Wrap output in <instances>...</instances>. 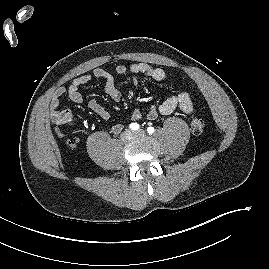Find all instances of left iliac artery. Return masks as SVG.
<instances>
[{
	"mask_svg": "<svg viewBox=\"0 0 269 269\" xmlns=\"http://www.w3.org/2000/svg\"><path fill=\"white\" fill-rule=\"evenodd\" d=\"M154 131H155L154 127H148V128H147V132H148L149 134L154 133Z\"/></svg>",
	"mask_w": 269,
	"mask_h": 269,
	"instance_id": "obj_1",
	"label": "left iliac artery"
}]
</instances>
